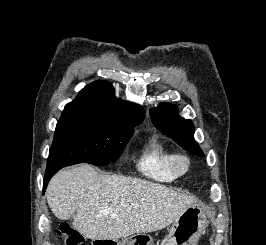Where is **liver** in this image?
I'll list each match as a JSON object with an SVG mask.
<instances>
[{"label": "liver", "mask_w": 266, "mask_h": 245, "mask_svg": "<svg viewBox=\"0 0 266 245\" xmlns=\"http://www.w3.org/2000/svg\"><path fill=\"white\" fill-rule=\"evenodd\" d=\"M55 217L68 221L86 239L118 241L134 233H152L169 227L195 199L123 175H99L91 165L67 167L54 175L46 191ZM110 209L112 213H100Z\"/></svg>", "instance_id": "1"}]
</instances>
